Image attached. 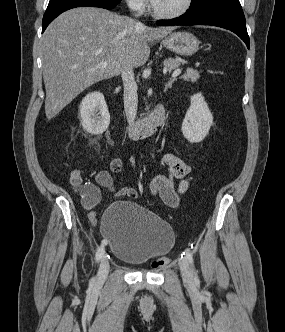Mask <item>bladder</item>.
I'll use <instances>...</instances> for the list:
<instances>
[{"mask_svg":"<svg viewBox=\"0 0 285 332\" xmlns=\"http://www.w3.org/2000/svg\"><path fill=\"white\" fill-rule=\"evenodd\" d=\"M101 233L111 254L130 265L164 254L174 243V233L168 223L129 201H115L106 208Z\"/></svg>","mask_w":285,"mask_h":332,"instance_id":"31cf9c89","label":"bladder"}]
</instances>
